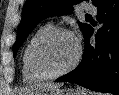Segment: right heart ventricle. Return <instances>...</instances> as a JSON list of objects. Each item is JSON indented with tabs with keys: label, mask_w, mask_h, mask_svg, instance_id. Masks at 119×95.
I'll return each mask as SVG.
<instances>
[{
	"label": "right heart ventricle",
	"mask_w": 119,
	"mask_h": 95,
	"mask_svg": "<svg viewBox=\"0 0 119 95\" xmlns=\"http://www.w3.org/2000/svg\"><path fill=\"white\" fill-rule=\"evenodd\" d=\"M53 28L51 23H46L39 27L34 34L30 37L28 42L26 43L23 52H22V74L23 79L26 82H37L45 79L42 75H40L32 66L31 62V53L32 49L37 42V40L46 32L50 31Z\"/></svg>",
	"instance_id": "right-heart-ventricle-1"
}]
</instances>
